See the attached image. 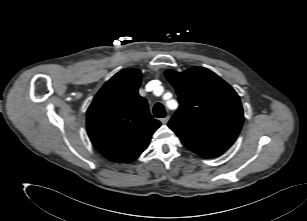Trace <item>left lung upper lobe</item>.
<instances>
[{
    "label": "left lung upper lobe",
    "mask_w": 307,
    "mask_h": 221,
    "mask_svg": "<svg viewBox=\"0 0 307 221\" xmlns=\"http://www.w3.org/2000/svg\"><path fill=\"white\" fill-rule=\"evenodd\" d=\"M180 107L168 126L185 147L226 151L236 140L244 120L243 108L234 89L204 67L184 72L167 70Z\"/></svg>",
    "instance_id": "1"
}]
</instances>
